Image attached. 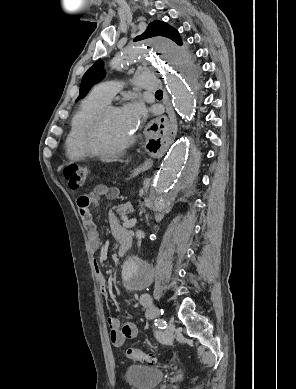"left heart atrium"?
<instances>
[{"mask_svg":"<svg viewBox=\"0 0 296 389\" xmlns=\"http://www.w3.org/2000/svg\"><path fill=\"white\" fill-rule=\"evenodd\" d=\"M121 113L131 131L134 132L145 116V108L141 102L132 101L121 109Z\"/></svg>","mask_w":296,"mask_h":389,"instance_id":"39dd6f15","label":"left heart atrium"}]
</instances>
